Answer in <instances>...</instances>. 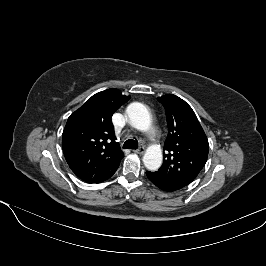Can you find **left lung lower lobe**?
Masks as SVG:
<instances>
[{
  "mask_svg": "<svg viewBox=\"0 0 266 266\" xmlns=\"http://www.w3.org/2000/svg\"><path fill=\"white\" fill-rule=\"evenodd\" d=\"M146 175H147L148 179L153 184H155L158 188H160L161 190H164V191H167V192H171V191H176V190L180 189L179 187L174 186V185L168 183L167 181H165L164 179H162L155 172L147 171Z\"/></svg>",
  "mask_w": 266,
  "mask_h": 266,
  "instance_id": "1",
  "label": "left lung lower lobe"
}]
</instances>
